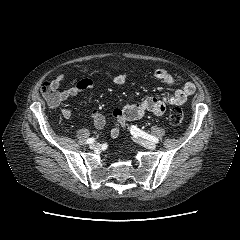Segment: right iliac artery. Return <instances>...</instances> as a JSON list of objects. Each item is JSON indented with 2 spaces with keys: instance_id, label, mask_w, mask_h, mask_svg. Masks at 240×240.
Returning a JSON list of instances; mask_svg holds the SVG:
<instances>
[{
  "instance_id": "1",
  "label": "right iliac artery",
  "mask_w": 240,
  "mask_h": 240,
  "mask_svg": "<svg viewBox=\"0 0 240 240\" xmlns=\"http://www.w3.org/2000/svg\"><path fill=\"white\" fill-rule=\"evenodd\" d=\"M94 141H95L94 138H89V139L87 140V143H88V144H92Z\"/></svg>"
}]
</instances>
